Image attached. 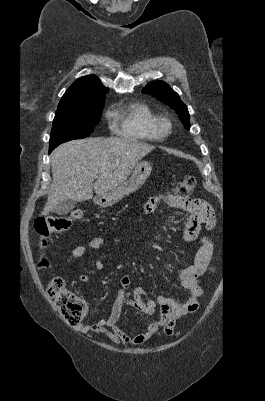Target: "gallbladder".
<instances>
[{"mask_svg":"<svg viewBox=\"0 0 265 401\" xmlns=\"http://www.w3.org/2000/svg\"><path fill=\"white\" fill-rule=\"evenodd\" d=\"M76 205L77 201H71V198H65V201H61V203L53 209V213H56V215H67V213L73 211Z\"/></svg>","mask_w":265,"mask_h":401,"instance_id":"obj_1","label":"gallbladder"}]
</instances>
